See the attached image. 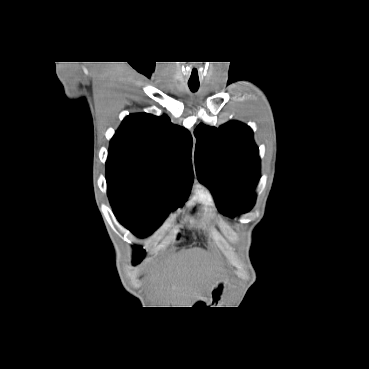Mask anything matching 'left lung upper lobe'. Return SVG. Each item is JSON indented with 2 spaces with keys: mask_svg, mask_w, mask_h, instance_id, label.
I'll return each instance as SVG.
<instances>
[{
  "mask_svg": "<svg viewBox=\"0 0 369 369\" xmlns=\"http://www.w3.org/2000/svg\"><path fill=\"white\" fill-rule=\"evenodd\" d=\"M194 134L196 174L211 190L219 211L228 216L249 211L260 179L253 131L241 122L230 121L219 128L199 124Z\"/></svg>",
  "mask_w": 369,
  "mask_h": 369,
  "instance_id": "1",
  "label": "left lung upper lobe"
}]
</instances>
